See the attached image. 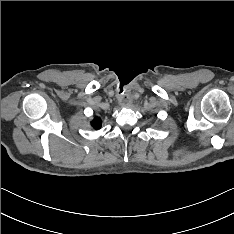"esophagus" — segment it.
<instances>
[{"label": "esophagus", "mask_w": 234, "mask_h": 234, "mask_svg": "<svg viewBox=\"0 0 234 234\" xmlns=\"http://www.w3.org/2000/svg\"><path fill=\"white\" fill-rule=\"evenodd\" d=\"M121 104H122L123 106H128L129 101H128L127 99L123 98V99L121 100Z\"/></svg>", "instance_id": "34e87169"}]
</instances>
